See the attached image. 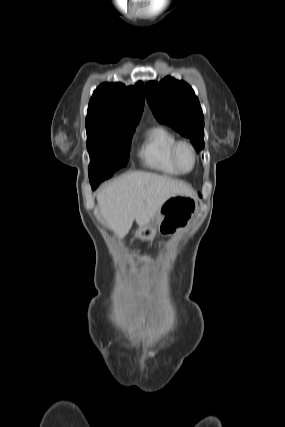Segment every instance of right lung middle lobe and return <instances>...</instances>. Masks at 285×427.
Masks as SVG:
<instances>
[{"instance_id": "obj_1", "label": "right lung middle lobe", "mask_w": 285, "mask_h": 427, "mask_svg": "<svg viewBox=\"0 0 285 427\" xmlns=\"http://www.w3.org/2000/svg\"><path fill=\"white\" fill-rule=\"evenodd\" d=\"M133 125L86 126L87 149L90 154L89 180L101 182L126 166L129 158Z\"/></svg>"}]
</instances>
